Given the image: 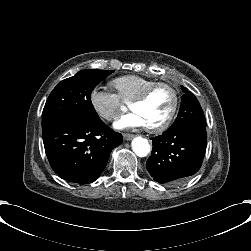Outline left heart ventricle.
I'll return each instance as SVG.
<instances>
[{
	"label": "left heart ventricle",
	"mask_w": 251,
	"mask_h": 251,
	"mask_svg": "<svg viewBox=\"0 0 251 251\" xmlns=\"http://www.w3.org/2000/svg\"><path fill=\"white\" fill-rule=\"evenodd\" d=\"M174 104V93L168 86L158 87L151 97L144 103H135L134 110H139L144 115L147 126L162 122L170 113Z\"/></svg>",
	"instance_id": "left-heart-ventricle-1"
}]
</instances>
